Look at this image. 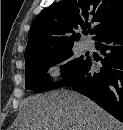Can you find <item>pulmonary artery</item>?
Listing matches in <instances>:
<instances>
[{
	"instance_id": "1",
	"label": "pulmonary artery",
	"mask_w": 123,
	"mask_h": 130,
	"mask_svg": "<svg viewBox=\"0 0 123 130\" xmlns=\"http://www.w3.org/2000/svg\"><path fill=\"white\" fill-rule=\"evenodd\" d=\"M82 46L85 50H89L92 48V43L89 41V40H85L83 43H82Z\"/></svg>"
}]
</instances>
